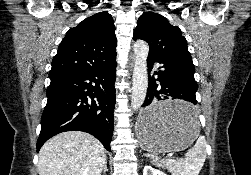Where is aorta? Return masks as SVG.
Listing matches in <instances>:
<instances>
[{
	"label": "aorta",
	"mask_w": 251,
	"mask_h": 175,
	"mask_svg": "<svg viewBox=\"0 0 251 175\" xmlns=\"http://www.w3.org/2000/svg\"><path fill=\"white\" fill-rule=\"evenodd\" d=\"M134 66L131 93V109H139L144 103L148 88L147 56L149 46L143 40H137L133 46Z\"/></svg>",
	"instance_id": "aorta-1"
}]
</instances>
